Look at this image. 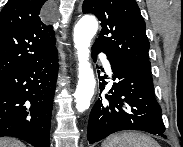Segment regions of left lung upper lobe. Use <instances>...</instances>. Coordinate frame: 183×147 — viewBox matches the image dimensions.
Returning <instances> with one entry per match:
<instances>
[{"instance_id":"1","label":"left lung upper lobe","mask_w":183,"mask_h":147,"mask_svg":"<svg viewBox=\"0 0 183 147\" xmlns=\"http://www.w3.org/2000/svg\"><path fill=\"white\" fill-rule=\"evenodd\" d=\"M82 11L96 15L101 21L102 30L93 47L151 73L150 44L135 0H84Z\"/></svg>"}]
</instances>
